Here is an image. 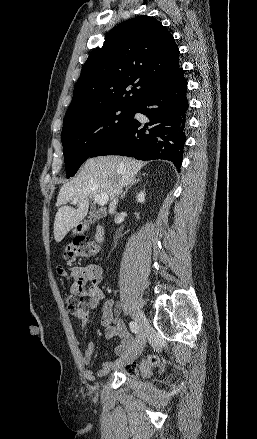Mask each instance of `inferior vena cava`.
I'll use <instances>...</instances> for the list:
<instances>
[{
  "instance_id": "inferior-vena-cava-1",
  "label": "inferior vena cava",
  "mask_w": 257,
  "mask_h": 439,
  "mask_svg": "<svg viewBox=\"0 0 257 439\" xmlns=\"http://www.w3.org/2000/svg\"><path fill=\"white\" fill-rule=\"evenodd\" d=\"M120 194V192L115 196V198L114 199H112V202L110 203V206H109V212L110 213H114L115 212V209H116V204L118 203V195Z\"/></svg>"
}]
</instances>
